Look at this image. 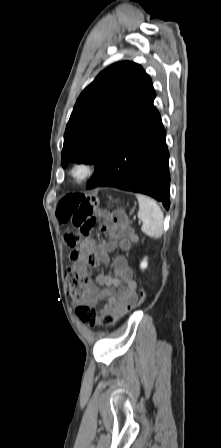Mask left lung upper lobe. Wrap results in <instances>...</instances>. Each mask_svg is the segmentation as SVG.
I'll return each instance as SVG.
<instances>
[{"mask_svg": "<svg viewBox=\"0 0 221 448\" xmlns=\"http://www.w3.org/2000/svg\"><path fill=\"white\" fill-rule=\"evenodd\" d=\"M156 94L143 68L129 61L103 70L81 93L64 134L62 166L71 162L99 169L146 118Z\"/></svg>", "mask_w": 221, "mask_h": 448, "instance_id": "obj_1", "label": "left lung upper lobe"}]
</instances>
